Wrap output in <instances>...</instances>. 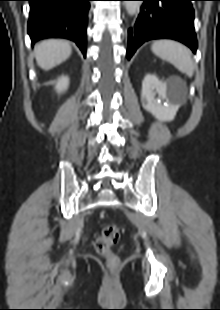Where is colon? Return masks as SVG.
Masks as SVG:
<instances>
[{
  "mask_svg": "<svg viewBox=\"0 0 220 310\" xmlns=\"http://www.w3.org/2000/svg\"><path fill=\"white\" fill-rule=\"evenodd\" d=\"M120 238V231L116 225L109 224L102 230L101 235L95 242V249L98 254L103 256L112 265L118 262L117 256L112 252L111 248Z\"/></svg>",
  "mask_w": 220,
  "mask_h": 310,
  "instance_id": "1",
  "label": "colon"
}]
</instances>
